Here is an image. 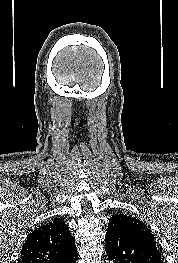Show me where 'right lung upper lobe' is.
Here are the masks:
<instances>
[{
    "label": "right lung upper lobe",
    "instance_id": "obj_1",
    "mask_svg": "<svg viewBox=\"0 0 178 263\" xmlns=\"http://www.w3.org/2000/svg\"><path fill=\"white\" fill-rule=\"evenodd\" d=\"M76 253L75 239L68 226L55 219L30 233L18 263H63Z\"/></svg>",
    "mask_w": 178,
    "mask_h": 263
}]
</instances>
